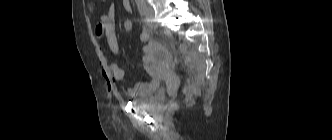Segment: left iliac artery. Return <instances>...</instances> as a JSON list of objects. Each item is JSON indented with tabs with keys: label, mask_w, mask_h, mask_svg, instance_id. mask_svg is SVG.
<instances>
[{
	"label": "left iliac artery",
	"mask_w": 332,
	"mask_h": 140,
	"mask_svg": "<svg viewBox=\"0 0 332 140\" xmlns=\"http://www.w3.org/2000/svg\"><path fill=\"white\" fill-rule=\"evenodd\" d=\"M135 1L140 14L144 15L145 1L144 0H135Z\"/></svg>",
	"instance_id": "1"
}]
</instances>
